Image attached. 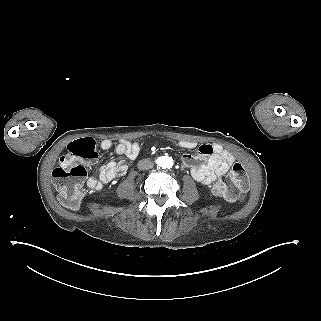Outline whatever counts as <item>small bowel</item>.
Here are the masks:
<instances>
[{
  "label": "small bowel",
  "mask_w": 321,
  "mask_h": 321,
  "mask_svg": "<svg viewBox=\"0 0 321 321\" xmlns=\"http://www.w3.org/2000/svg\"><path fill=\"white\" fill-rule=\"evenodd\" d=\"M175 144L185 149L197 147V143L194 141H178ZM100 146L102 149L108 150L113 146V142L110 139H104ZM139 151L140 144L136 141L123 139L115 146V152L118 155H124L129 159H135ZM233 162V155L225 151L219 144H202L195 153L183 155L181 166L189 168L196 181L204 185H211L217 177L223 175L229 169ZM127 168L125 160L99 164L97 177L89 178L88 186L94 190H99L116 177L124 175Z\"/></svg>",
  "instance_id": "small-bowel-1"
}]
</instances>
